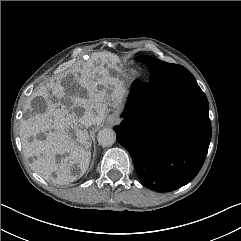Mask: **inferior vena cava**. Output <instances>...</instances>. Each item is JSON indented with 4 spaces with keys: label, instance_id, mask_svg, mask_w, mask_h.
<instances>
[{
    "label": "inferior vena cava",
    "instance_id": "obj_1",
    "mask_svg": "<svg viewBox=\"0 0 241 241\" xmlns=\"http://www.w3.org/2000/svg\"><path fill=\"white\" fill-rule=\"evenodd\" d=\"M94 122H95V115L91 111H85L82 117L80 118V123L85 127H89L93 125Z\"/></svg>",
    "mask_w": 241,
    "mask_h": 241
}]
</instances>
